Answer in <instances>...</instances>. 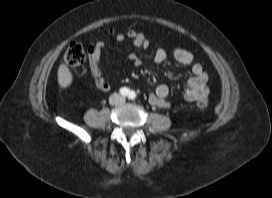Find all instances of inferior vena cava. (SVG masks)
<instances>
[{"label":"inferior vena cava","mask_w":272,"mask_h":198,"mask_svg":"<svg viewBox=\"0 0 272 198\" xmlns=\"http://www.w3.org/2000/svg\"><path fill=\"white\" fill-rule=\"evenodd\" d=\"M125 102V97L118 94V93H114L110 96L109 98V103L111 105H119Z\"/></svg>","instance_id":"inferior-vena-cava-1"}]
</instances>
